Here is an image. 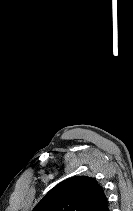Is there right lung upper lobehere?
I'll list each match as a JSON object with an SVG mask.
<instances>
[{
	"mask_svg": "<svg viewBox=\"0 0 133 211\" xmlns=\"http://www.w3.org/2000/svg\"><path fill=\"white\" fill-rule=\"evenodd\" d=\"M33 211H109L107 198L98 182L75 176L51 189Z\"/></svg>",
	"mask_w": 133,
	"mask_h": 211,
	"instance_id": "obj_1",
	"label": "right lung upper lobe"
}]
</instances>
